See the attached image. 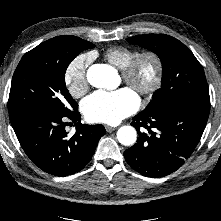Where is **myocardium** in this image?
Returning <instances> with one entry per match:
<instances>
[{
	"label": "myocardium",
	"mask_w": 221,
	"mask_h": 221,
	"mask_svg": "<svg viewBox=\"0 0 221 221\" xmlns=\"http://www.w3.org/2000/svg\"><path fill=\"white\" fill-rule=\"evenodd\" d=\"M150 60L154 65L152 80L145 85L138 82V72L142 63ZM164 66L161 57L154 51L139 52L130 63L122 69L124 82L137 91L142 97L148 98L156 93L162 85Z\"/></svg>",
	"instance_id": "myocardium-1"
}]
</instances>
